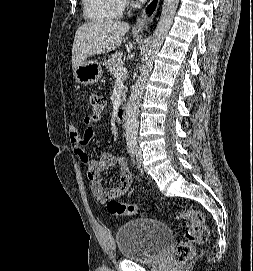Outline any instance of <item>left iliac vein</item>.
I'll return each instance as SVG.
<instances>
[{
    "label": "left iliac vein",
    "instance_id": "left-iliac-vein-1",
    "mask_svg": "<svg viewBox=\"0 0 253 271\" xmlns=\"http://www.w3.org/2000/svg\"><path fill=\"white\" fill-rule=\"evenodd\" d=\"M136 166L139 170L144 171L142 151L139 147L136 148Z\"/></svg>",
    "mask_w": 253,
    "mask_h": 271
}]
</instances>
